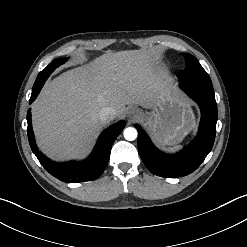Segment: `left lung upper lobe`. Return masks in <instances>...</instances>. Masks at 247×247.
I'll return each instance as SVG.
<instances>
[{
	"label": "left lung upper lobe",
	"instance_id": "obj_1",
	"mask_svg": "<svg viewBox=\"0 0 247 247\" xmlns=\"http://www.w3.org/2000/svg\"><path fill=\"white\" fill-rule=\"evenodd\" d=\"M186 60V71H181L180 79L189 82H200L211 84V79L207 72L200 65L196 57L191 54H184Z\"/></svg>",
	"mask_w": 247,
	"mask_h": 247
}]
</instances>
